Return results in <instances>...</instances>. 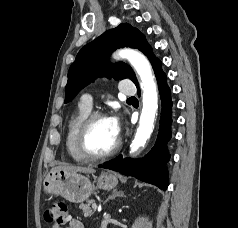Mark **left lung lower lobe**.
I'll return each mask as SVG.
<instances>
[{"instance_id":"obj_1","label":"left lung lower lobe","mask_w":238,"mask_h":228,"mask_svg":"<svg viewBox=\"0 0 238 228\" xmlns=\"http://www.w3.org/2000/svg\"><path fill=\"white\" fill-rule=\"evenodd\" d=\"M149 60L157 78L162 102L160 127L155 145L143 158L136 160L130 158L123 159L122 155H119L99 167L117 171L126 176H133L141 181L156 185L162 190H166L169 185L166 164L170 158L167 142L171 138V91L167 85V76L161 67L162 62L154 54L150 55ZM136 86L139 93L138 84Z\"/></svg>"}]
</instances>
